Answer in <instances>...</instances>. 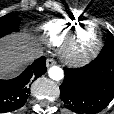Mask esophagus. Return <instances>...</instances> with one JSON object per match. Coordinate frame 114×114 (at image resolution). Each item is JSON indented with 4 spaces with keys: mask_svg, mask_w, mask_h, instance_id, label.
Instances as JSON below:
<instances>
[{
    "mask_svg": "<svg viewBox=\"0 0 114 114\" xmlns=\"http://www.w3.org/2000/svg\"><path fill=\"white\" fill-rule=\"evenodd\" d=\"M55 64H56V61L54 59H52V58H48L47 61H46L47 67H51V66H53Z\"/></svg>",
    "mask_w": 114,
    "mask_h": 114,
    "instance_id": "esophagus-1",
    "label": "esophagus"
}]
</instances>
